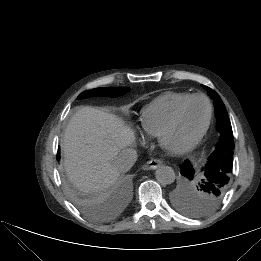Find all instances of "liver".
<instances>
[{"instance_id": "6515ba94", "label": "liver", "mask_w": 261, "mask_h": 261, "mask_svg": "<svg viewBox=\"0 0 261 261\" xmlns=\"http://www.w3.org/2000/svg\"><path fill=\"white\" fill-rule=\"evenodd\" d=\"M134 132L121 118L94 107H81L70 119L63 137L64 167L82 192L113 185L120 172L114 161L134 143Z\"/></svg>"}]
</instances>
